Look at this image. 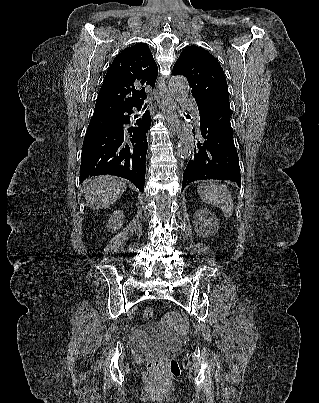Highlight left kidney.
<instances>
[{"label": "left kidney", "instance_id": "left-kidney-1", "mask_svg": "<svg viewBox=\"0 0 319 403\" xmlns=\"http://www.w3.org/2000/svg\"><path fill=\"white\" fill-rule=\"evenodd\" d=\"M197 217H199L203 222H208L209 220H213L216 224V227L218 226L217 218L213 212L207 209H200L197 211L196 214ZM209 216V217H208Z\"/></svg>", "mask_w": 319, "mask_h": 403}]
</instances>
